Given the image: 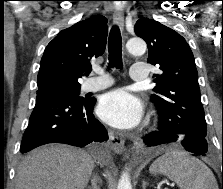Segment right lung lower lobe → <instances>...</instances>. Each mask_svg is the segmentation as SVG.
Listing matches in <instances>:
<instances>
[{
  "instance_id": "obj_1",
  "label": "right lung lower lobe",
  "mask_w": 223,
  "mask_h": 189,
  "mask_svg": "<svg viewBox=\"0 0 223 189\" xmlns=\"http://www.w3.org/2000/svg\"><path fill=\"white\" fill-rule=\"evenodd\" d=\"M95 99L76 100L62 96H37L20 152L48 143L84 147L108 140L105 127L95 118Z\"/></svg>"
}]
</instances>
